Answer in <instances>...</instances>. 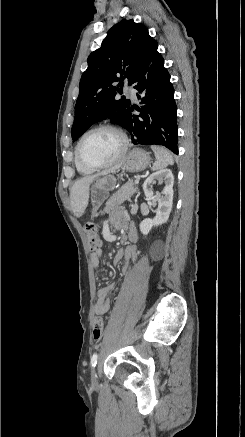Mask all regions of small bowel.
<instances>
[{"label": "small bowel", "instance_id": "c3829d8e", "mask_svg": "<svg viewBox=\"0 0 245 437\" xmlns=\"http://www.w3.org/2000/svg\"><path fill=\"white\" fill-rule=\"evenodd\" d=\"M112 220L122 231L125 232V236L130 242L133 243L136 241L137 233L135 227L132 224L125 223L123 217L120 214H115ZM102 255H103V250L101 248H98L94 253H92L91 261L93 266L96 267L99 265L100 258L102 257ZM136 258H137L136 247L133 244H130L126 248L117 251L115 255V262L117 263L123 259L124 264L122 266L121 271L123 274H127L130 268L129 263L135 262ZM115 287H116V283H110L98 289L97 300L94 305L95 314L104 315L109 311L110 309L109 296Z\"/></svg>", "mask_w": 245, "mask_h": 437}]
</instances>
